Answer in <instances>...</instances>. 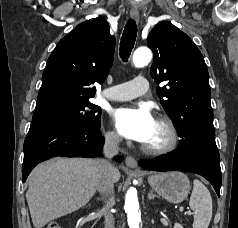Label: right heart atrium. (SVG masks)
<instances>
[{"instance_id": "right-heart-atrium-1", "label": "right heart atrium", "mask_w": 238, "mask_h": 228, "mask_svg": "<svg viewBox=\"0 0 238 228\" xmlns=\"http://www.w3.org/2000/svg\"><path fill=\"white\" fill-rule=\"evenodd\" d=\"M106 141L109 144L115 145L119 142V136L114 130H109L106 135Z\"/></svg>"}]
</instances>
